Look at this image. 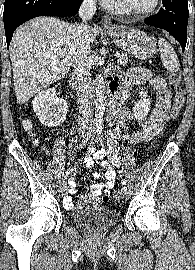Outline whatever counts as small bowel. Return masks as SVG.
Returning a JSON list of instances; mask_svg holds the SVG:
<instances>
[{
  "instance_id": "c3829d8e",
  "label": "small bowel",
  "mask_w": 195,
  "mask_h": 270,
  "mask_svg": "<svg viewBox=\"0 0 195 270\" xmlns=\"http://www.w3.org/2000/svg\"><path fill=\"white\" fill-rule=\"evenodd\" d=\"M117 84V75L112 78ZM149 83L156 93V105L149 118L140 123V128L133 132L125 131L128 123L133 120V114L124 106L128 96V90L135 85ZM172 99L171 91L166 87L163 78L153 76L149 71L143 69H133L129 71L123 79V89L117 93L116 99L111 103L110 119L117 122V126L108 134V147L106 149H97L91 147L88 149V156L85 158V164L92 167L98 163L104 168L105 181L94 183L88 194L81 196L80 203L87 204L108 203L110 200L109 192L115 186L117 173L115 167L120 164V156L115 145L121 139L128 140L132 143L148 141L154 137L163 127L168 118ZM107 157V159H105ZM101 177L99 172L93 173L94 179ZM69 196L65 198V205L73 207L71 195L76 193V184L71 181Z\"/></svg>"
}]
</instances>
